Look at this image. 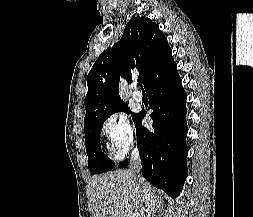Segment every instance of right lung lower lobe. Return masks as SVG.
Returning <instances> with one entry per match:
<instances>
[{
    "instance_id": "right-lung-lower-lobe-1",
    "label": "right lung lower lobe",
    "mask_w": 253,
    "mask_h": 217,
    "mask_svg": "<svg viewBox=\"0 0 253 217\" xmlns=\"http://www.w3.org/2000/svg\"><path fill=\"white\" fill-rule=\"evenodd\" d=\"M150 100L152 129L142 125L146 111L137 113L134 123L143 176L156 188L176 197L187 177L188 148L185 108L187 95L182 88L177 65L152 78L145 87ZM128 159L119 164L124 167Z\"/></svg>"
}]
</instances>
